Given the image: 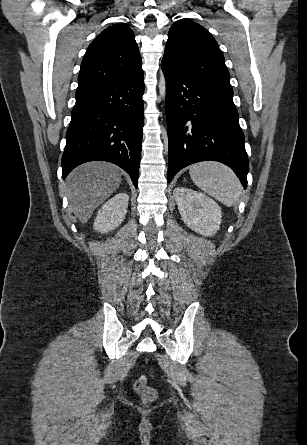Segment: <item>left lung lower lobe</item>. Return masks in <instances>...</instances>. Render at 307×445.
Returning a JSON list of instances; mask_svg holds the SVG:
<instances>
[{
    "label": "left lung lower lobe",
    "mask_w": 307,
    "mask_h": 445,
    "mask_svg": "<svg viewBox=\"0 0 307 445\" xmlns=\"http://www.w3.org/2000/svg\"><path fill=\"white\" fill-rule=\"evenodd\" d=\"M162 70L166 77L168 182L185 166L214 160L231 167L246 188L249 162L233 96L199 85L169 63L162 62Z\"/></svg>",
    "instance_id": "1"
}]
</instances>
